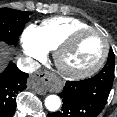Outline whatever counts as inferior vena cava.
<instances>
[{
    "mask_svg": "<svg viewBox=\"0 0 117 117\" xmlns=\"http://www.w3.org/2000/svg\"><path fill=\"white\" fill-rule=\"evenodd\" d=\"M17 67L25 73H33L40 68V64L31 58L22 57L18 59Z\"/></svg>",
    "mask_w": 117,
    "mask_h": 117,
    "instance_id": "inferior-vena-cava-1",
    "label": "inferior vena cava"
}]
</instances>
